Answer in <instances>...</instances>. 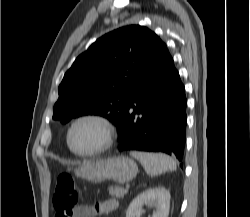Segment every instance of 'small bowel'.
<instances>
[{"instance_id": "small-bowel-1", "label": "small bowel", "mask_w": 250, "mask_h": 217, "mask_svg": "<svg viewBox=\"0 0 250 217\" xmlns=\"http://www.w3.org/2000/svg\"><path fill=\"white\" fill-rule=\"evenodd\" d=\"M118 207L116 199H108L93 206L80 205L72 213L71 217H96L97 215H107Z\"/></svg>"}]
</instances>
